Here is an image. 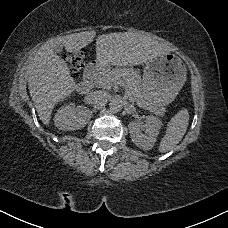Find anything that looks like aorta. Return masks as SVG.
<instances>
[{"instance_id": "762f6f07", "label": "aorta", "mask_w": 228, "mask_h": 228, "mask_svg": "<svg viewBox=\"0 0 228 228\" xmlns=\"http://www.w3.org/2000/svg\"><path fill=\"white\" fill-rule=\"evenodd\" d=\"M110 111L112 113H118L122 109V105L117 100H112L109 104Z\"/></svg>"}]
</instances>
